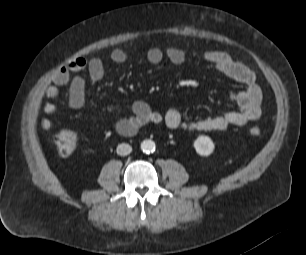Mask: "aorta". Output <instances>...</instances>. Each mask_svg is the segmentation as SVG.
<instances>
[{
	"mask_svg": "<svg viewBox=\"0 0 306 255\" xmlns=\"http://www.w3.org/2000/svg\"><path fill=\"white\" fill-rule=\"evenodd\" d=\"M140 148L142 150V152L146 153V154H150L153 153L156 149V144L153 140L147 139L144 140L141 145Z\"/></svg>",
	"mask_w": 306,
	"mask_h": 255,
	"instance_id": "obj_1",
	"label": "aorta"
}]
</instances>
